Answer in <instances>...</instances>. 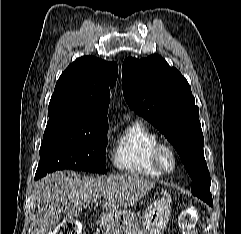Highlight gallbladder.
I'll list each match as a JSON object with an SVG mask.
<instances>
[{
    "label": "gallbladder",
    "mask_w": 241,
    "mask_h": 234,
    "mask_svg": "<svg viewBox=\"0 0 241 234\" xmlns=\"http://www.w3.org/2000/svg\"><path fill=\"white\" fill-rule=\"evenodd\" d=\"M81 211H74V215H78Z\"/></svg>",
    "instance_id": "bac80fb5"
}]
</instances>
